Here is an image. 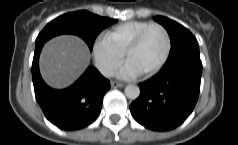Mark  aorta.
Masks as SVG:
<instances>
[{
    "mask_svg": "<svg viewBox=\"0 0 238 145\" xmlns=\"http://www.w3.org/2000/svg\"><path fill=\"white\" fill-rule=\"evenodd\" d=\"M124 92L127 98L135 100L140 95V88L137 85L130 84L125 87Z\"/></svg>",
    "mask_w": 238,
    "mask_h": 145,
    "instance_id": "obj_1",
    "label": "aorta"
}]
</instances>
